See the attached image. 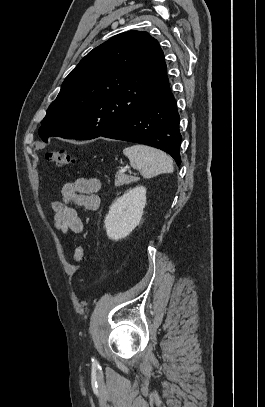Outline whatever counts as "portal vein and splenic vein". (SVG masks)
<instances>
[{"instance_id":"1","label":"portal vein and splenic vein","mask_w":265,"mask_h":407,"mask_svg":"<svg viewBox=\"0 0 265 407\" xmlns=\"http://www.w3.org/2000/svg\"><path fill=\"white\" fill-rule=\"evenodd\" d=\"M125 171V169H122V172H124Z\"/></svg>"}]
</instances>
